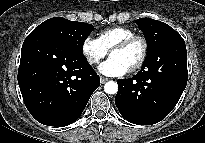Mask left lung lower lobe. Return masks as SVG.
<instances>
[{
  "instance_id": "obj_1",
  "label": "left lung lower lobe",
  "mask_w": 205,
  "mask_h": 143,
  "mask_svg": "<svg viewBox=\"0 0 205 143\" xmlns=\"http://www.w3.org/2000/svg\"><path fill=\"white\" fill-rule=\"evenodd\" d=\"M154 55L165 60L156 61L132 78L117 80L115 104L128 122L137 125H152L163 120L176 106L187 85V52L181 36L164 42Z\"/></svg>"
}]
</instances>
